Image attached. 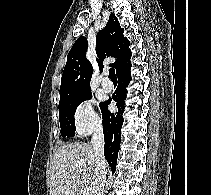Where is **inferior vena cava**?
Wrapping results in <instances>:
<instances>
[{
  "label": "inferior vena cava",
  "mask_w": 211,
  "mask_h": 195,
  "mask_svg": "<svg viewBox=\"0 0 211 195\" xmlns=\"http://www.w3.org/2000/svg\"><path fill=\"white\" fill-rule=\"evenodd\" d=\"M91 144L96 166L92 195H104L107 163L104 157V134L101 126L95 128Z\"/></svg>",
  "instance_id": "1"
}]
</instances>
